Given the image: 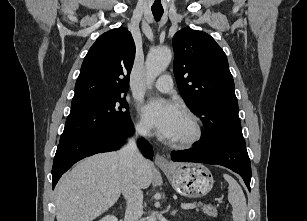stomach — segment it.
<instances>
[{"label":"stomach","mask_w":307,"mask_h":221,"mask_svg":"<svg viewBox=\"0 0 307 221\" xmlns=\"http://www.w3.org/2000/svg\"><path fill=\"white\" fill-rule=\"evenodd\" d=\"M173 188L187 197H202L210 192L214 180L210 170L197 163H175L162 169Z\"/></svg>","instance_id":"stomach-1"}]
</instances>
